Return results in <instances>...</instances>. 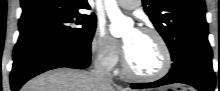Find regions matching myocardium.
Instances as JSON below:
<instances>
[{
	"label": "myocardium",
	"instance_id": "1",
	"mask_svg": "<svg viewBox=\"0 0 220 91\" xmlns=\"http://www.w3.org/2000/svg\"><path fill=\"white\" fill-rule=\"evenodd\" d=\"M139 31L142 33L151 35L157 41L162 52V57H163L162 66L157 72L153 74L136 73L130 68L127 57H126V53L125 51H123L122 53L123 73L127 77L134 79V80H138V81L151 82V81L159 80L163 78L164 76H166L172 67V55H171L169 46L166 40L164 39V37L157 30L150 28V27H142L140 28Z\"/></svg>",
	"mask_w": 220,
	"mask_h": 91
}]
</instances>
